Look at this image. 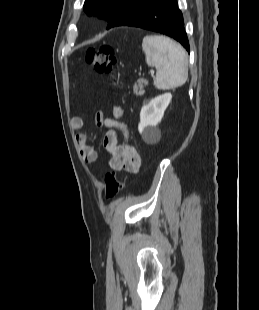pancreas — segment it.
Listing matches in <instances>:
<instances>
[{
  "mask_svg": "<svg viewBox=\"0 0 259 310\" xmlns=\"http://www.w3.org/2000/svg\"><path fill=\"white\" fill-rule=\"evenodd\" d=\"M148 84L146 79L140 78L133 86V92L135 95L142 96L145 93L144 86Z\"/></svg>",
  "mask_w": 259,
  "mask_h": 310,
  "instance_id": "1",
  "label": "pancreas"
}]
</instances>
